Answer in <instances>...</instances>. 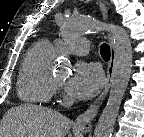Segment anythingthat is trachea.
Masks as SVG:
<instances>
[{
    "instance_id": "trachea-1",
    "label": "trachea",
    "mask_w": 144,
    "mask_h": 137,
    "mask_svg": "<svg viewBox=\"0 0 144 137\" xmlns=\"http://www.w3.org/2000/svg\"><path fill=\"white\" fill-rule=\"evenodd\" d=\"M100 51H101V56L103 59L105 60H109L110 58V48L107 44H102L101 45V48H100Z\"/></svg>"
}]
</instances>
